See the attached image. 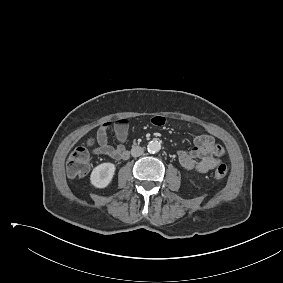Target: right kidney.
Masks as SVG:
<instances>
[{"label":"right kidney","instance_id":"ca27d5eb","mask_svg":"<svg viewBox=\"0 0 283 283\" xmlns=\"http://www.w3.org/2000/svg\"><path fill=\"white\" fill-rule=\"evenodd\" d=\"M115 169L113 163H102L96 166L90 176L91 184L96 188L107 187L112 181Z\"/></svg>","mask_w":283,"mask_h":283}]
</instances>
